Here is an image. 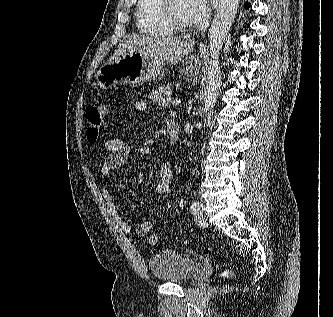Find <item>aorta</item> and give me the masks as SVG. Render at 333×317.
<instances>
[{
	"label": "aorta",
	"mask_w": 333,
	"mask_h": 317,
	"mask_svg": "<svg viewBox=\"0 0 333 317\" xmlns=\"http://www.w3.org/2000/svg\"><path fill=\"white\" fill-rule=\"evenodd\" d=\"M239 2L240 0H220L209 30L210 62L207 71V85L203 95L202 111L204 114L214 107L219 94L221 86L219 55L235 19Z\"/></svg>",
	"instance_id": "aorta-1"
}]
</instances>
